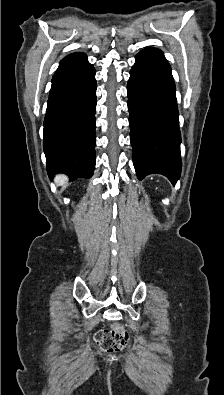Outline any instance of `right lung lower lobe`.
<instances>
[{
    "label": "right lung lower lobe",
    "instance_id": "right-lung-lower-lobe-1",
    "mask_svg": "<svg viewBox=\"0 0 224 395\" xmlns=\"http://www.w3.org/2000/svg\"><path fill=\"white\" fill-rule=\"evenodd\" d=\"M95 69L84 53L63 58L52 78L43 147L50 177L91 178L95 169Z\"/></svg>",
    "mask_w": 224,
    "mask_h": 395
}]
</instances>
